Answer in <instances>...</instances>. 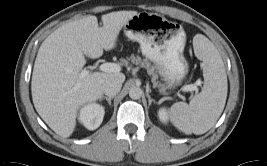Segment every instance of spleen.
<instances>
[{"mask_svg":"<svg viewBox=\"0 0 267 166\" xmlns=\"http://www.w3.org/2000/svg\"><path fill=\"white\" fill-rule=\"evenodd\" d=\"M196 56L203 61V90L189 104L174 103L169 117L174 126L185 134L201 135L219 119L227 98V76L223 60L214 44L202 35L193 40Z\"/></svg>","mask_w":267,"mask_h":166,"instance_id":"spleen-1","label":"spleen"}]
</instances>
